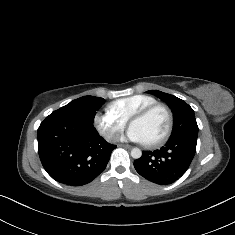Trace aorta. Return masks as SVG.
<instances>
[{"mask_svg":"<svg viewBox=\"0 0 235 235\" xmlns=\"http://www.w3.org/2000/svg\"><path fill=\"white\" fill-rule=\"evenodd\" d=\"M131 156L134 159H139L142 156V151L139 148H133L131 150Z\"/></svg>","mask_w":235,"mask_h":235,"instance_id":"aorta-1","label":"aorta"}]
</instances>
